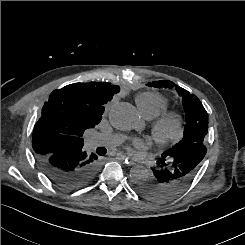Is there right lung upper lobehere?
I'll list each match as a JSON object with an SVG mask.
<instances>
[{
	"mask_svg": "<svg viewBox=\"0 0 245 245\" xmlns=\"http://www.w3.org/2000/svg\"><path fill=\"white\" fill-rule=\"evenodd\" d=\"M120 91L110 83H74L55 90L34 126L32 147L47 158L68 147H83V133L100 123L104 104Z\"/></svg>",
	"mask_w": 245,
	"mask_h": 245,
	"instance_id": "obj_1",
	"label": "right lung upper lobe"
}]
</instances>
